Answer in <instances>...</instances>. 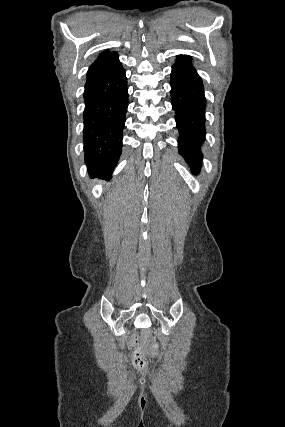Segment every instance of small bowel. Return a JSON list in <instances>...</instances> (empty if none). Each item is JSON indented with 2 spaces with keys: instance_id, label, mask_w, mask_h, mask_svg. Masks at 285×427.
<instances>
[{
  "instance_id": "1",
  "label": "small bowel",
  "mask_w": 285,
  "mask_h": 427,
  "mask_svg": "<svg viewBox=\"0 0 285 427\" xmlns=\"http://www.w3.org/2000/svg\"><path fill=\"white\" fill-rule=\"evenodd\" d=\"M134 344H135V340H133V339H132V340L130 341V346H133Z\"/></svg>"
}]
</instances>
